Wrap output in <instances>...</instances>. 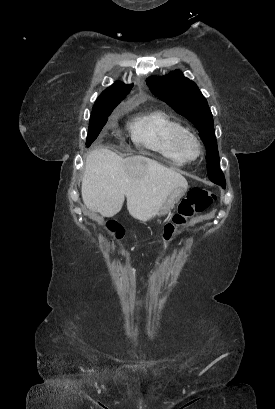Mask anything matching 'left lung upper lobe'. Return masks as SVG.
<instances>
[{
	"label": "left lung upper lobe",
	"instance_id": "5c2ea615",
	"mask_svg": "<svg viewBox=\"0 0 275 409\" xmlns=\"http://www.w3.org/2000/svg\"><path fill=\"white\" fill-rule=\"evenodd\" d=\"M147 85L152 93L170 105L177 113L190 120L200 132L207 150V173L209 179L225 186V178L220 169L214 123L208 103L197 85L184 77L179 70L163 77H149Z\"/></svg>",
	"mask_w": 275,
	"mask_h": 409
}]
</instances>
